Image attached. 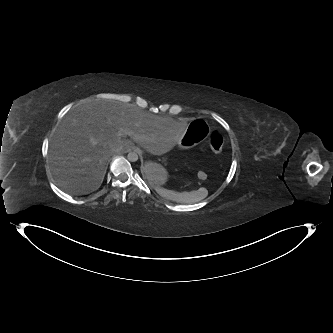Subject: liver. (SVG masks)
<instances>
[{"label":"liver","instance_id":"obj_1","mask_svg":"<svg viewBox=\"0 0 333 333\" xmlns=\"http://www.w3.org/2000/svg\"><path fill=\"white\" fill-rule=\"evenodd\" d=\"M120 129L129 134L119 136ZM185 132L184 122L146 112L135 104L89 100L71 110L56 128L49 169L66 192L88 194L102 183L114 153L125 152L135 142L153 155H163L177 147Z\"/></svg>","mask_w":333,"mask_h":333}]
</instances>
